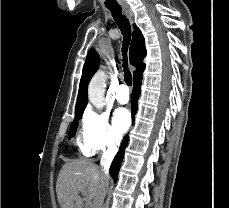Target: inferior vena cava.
I'll return each mask as SVG.
<instances>
[{"label": "inferior vena cava", "instance_id": "obj_1", "mask_svg": "<svg viewBox=\"0 0 229 208\" xmlns=\"http://www.w3.org/2000/svg\"><path fill=\"white\" fill-rule=\"evenodd\" d=\"M115 156V152L114 150H108V152H104L102 158H101V172H100V176L102 178V180H108L109 178V168H110V164L113 160ZM107 188H108V184H106L105 188H104V198L106 196V192H107Z\"/></svg>", "mask_w": 229, "mask_h": 208}]
</instances>
